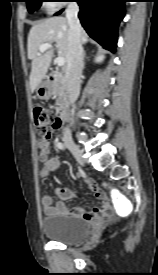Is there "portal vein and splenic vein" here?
<instances>
[{"mask_svg": "<svg viewBox=\"0 0 158 275\" xmlns=\"http://www.w3.org/2000/svg\"><path fill=\"white\" fill-rule=\"evenodd\" d=\"M52 45L51 44H43L39 47V54L45 52L48 49H51ZM55 62L57 64L58 67H61L65 64V58L64 57H57L55 59Z\"/></svg>", "mask_w": 158, "mask_h": 275, "instance_id": "obj_1", "label": "portal vein and splenic vein"}]
</instances>
